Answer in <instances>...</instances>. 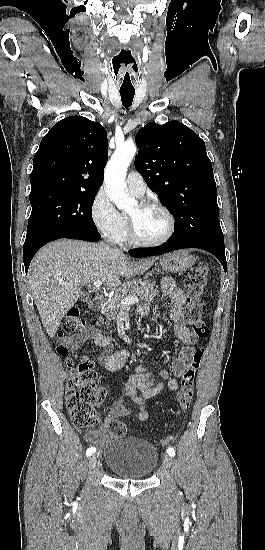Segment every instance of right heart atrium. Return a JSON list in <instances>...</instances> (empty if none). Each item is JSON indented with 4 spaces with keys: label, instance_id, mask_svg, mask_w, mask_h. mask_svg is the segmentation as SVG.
I'll list each match as a JSON object with an SVG mask.
<instances>
[{
    "label": "right heart atrium",
    "instance_id": "obj_1",
    "mask_svg": "<svg viewBox=\"0 0 265 550\" xmlns=\"http://www.w3.org/2000/svg\"><path fill=\"white\" fill-rule=\"evenodd\" d=\"M90 216L102 236L120 241L125 231V222L104 189L95 194L90 206Z\"/></svg>",
    "mask_w": 265,
    "mask_h": 550
}]
</instances>
